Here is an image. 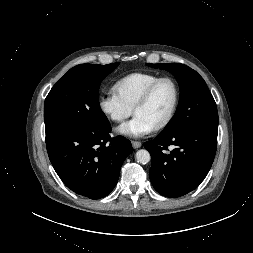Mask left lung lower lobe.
Masks as SVG:
<instances>
[{
	"label": "left lung lower lobe",
	"mask_w": 253,
	"mask_h": 253,
	"mask_svg": "<svg viewBox=\"0 0 253 253\" xmlns=\"http://www.w3.org/2000/svg\"><path fill=\"white\" fill-rule=\"evenodd\" d=\"M218 130L191 128L144 143L150 152V180L166 197L183 196L204 180L213 163ZM175 147L168 151V147Z\"/></svg>",
	"instance_id": "left-lung-lower-lobe-1"
}]
</instances>
